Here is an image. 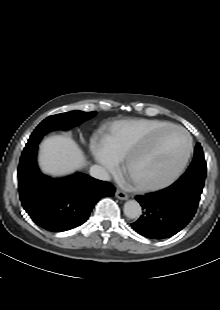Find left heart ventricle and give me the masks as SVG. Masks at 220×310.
Instances as JSON below:
<instances>
[{"instance_id": "1", "label": "left heart ventricle", "mask_w": 220, "mask_h": 310, "mask_svg": "<svg viewBox=\"0 0 220 310\" xmlns=\"http://www.w3.org/2000/svg\"><path fill=\"white\" fill-rule=\"evenodd\" d=\"M188 140L177 130H167L147 152L137 156L129 167L133 181L157 183L170 176L182 162Z\"/></svg>"}]
</instances>
